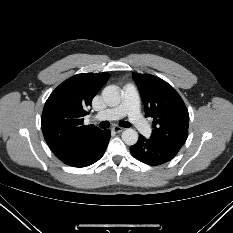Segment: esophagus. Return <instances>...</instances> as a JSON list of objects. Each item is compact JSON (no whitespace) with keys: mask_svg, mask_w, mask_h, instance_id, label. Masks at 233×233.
I'll return each mask as SVG.
<instances>
[{"mask_svg":"<svg viewBox=\"0 0 233 233\" xmlns=\"http://www.w3.org/2000/svg\"><path fill=\"white\" fill-rule=\"evenodd\" d=\"M112 130L117 132V133H120V132H122L124 130V128L119 127V126H113Z\"/></svg>","mask_w":233,"mask_h":233,"instance_id":"1","label":"esophagus"}]
</instances>
